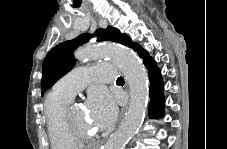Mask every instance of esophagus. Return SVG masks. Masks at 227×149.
I'll return each instance as SVG.
<instances>
[{"instance_id":"esophagus-1","label":"esophagus","mask_w":227,"mask_h":149,"mask_svg":"<svg viewBox=\"0 0 227 149\" xmlns=\"http://www.w3.org/2000/svg\"><path fill=\"white\" fill-rule=\"evenodd\" d=\"M126 111H121L120 119H125Z\"/></svg>"}]
</instances>
